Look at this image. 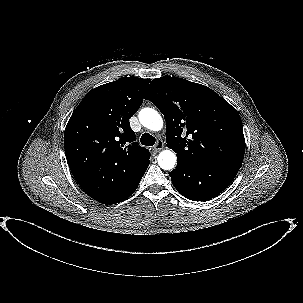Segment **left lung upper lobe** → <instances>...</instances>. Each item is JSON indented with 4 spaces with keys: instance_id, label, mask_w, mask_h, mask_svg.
I'll return each mask as SVG.
<instances>
[{
    "instance_id": "5c2ea615",
    "label": "left lung upper lobe",
    "mask_w": 303,
    "mask_h": 303,
    "mask_svg": "<svg viewBox=\"0 0 303 303\" xmlns=\"http://www.w3.org/2000/svg\"><path fill=\"white\" fill-rule=\"evenodd\" d=\"M146 99L164 114L166 143L177 159L241 167L245 153L241 118L212 89L165 76L152 80Z\"/></svg>"
}]
</instances>
